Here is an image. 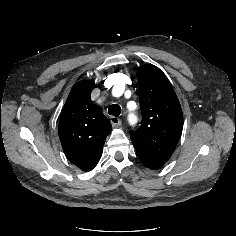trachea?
Masks as SVG:
<instances>
[{"instance_id": "obj_1", "label": "trachea", "mask_w": 236, "mask_h": 236, "mask_svg": "<svg viewBox=\"0 0 236 236\" xmlns=\"http://www.w3.org/2000/svg\"><path fill=\"white\" fill-rule=\"evenodd\" d=\"M121 113V107L118 104H113L108 108V114L113 116H119Z\"/></svg>"}]
</instances>
